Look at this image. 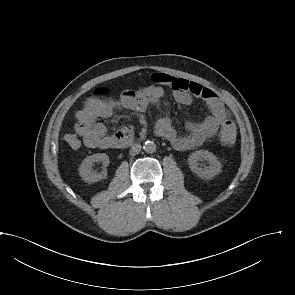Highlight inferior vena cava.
<instances>
[{
	"label": "inferior vena cava",
	"instance_id": "602c4592",
	"mask_svg": "<svg viewBox=\"0 0 295 295\" xmlns=\"http://www.w3.org/2000/svg\"><path fill=\"white\" fill-rule=\"evenodd\" d=\"M141 150V145L140 144H134L130 150V155H136L140 152Z\"/></svg>",
	"mask_w": 295,
	"mask_h": 295
}]
</instances>
